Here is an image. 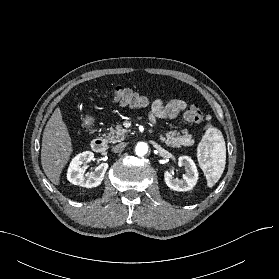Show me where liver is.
<instances>
[{
	"mask_svg": "<svg viewBox=\"0 0 279 279\" xmlns=\"http://www.w3.org/2000/svg\"><path fill=\"white\" fill-rule=\"evenodd\" d=\"M72 142L60 108L48 120L42 137L41 164L50 181L58 185L60 175L72 153Z\"/></svg>",
	"mask_w": 279,
	"mask_h": 279,
	"instance_id": "6515ba94",
	"label": "liver"
}]
</instances>
